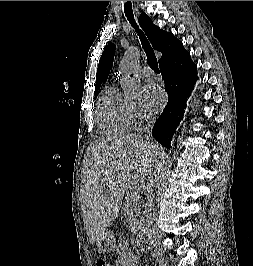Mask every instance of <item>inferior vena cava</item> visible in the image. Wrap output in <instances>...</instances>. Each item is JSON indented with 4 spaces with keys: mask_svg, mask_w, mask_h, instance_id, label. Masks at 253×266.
Instances as JSON below:
<instances>
[{
    "mask_svg": "<svg viewBox=\"0 0 253 266\" xmlns=\"http://www.w3.org/2000/svg\"><path fill=\"white\" fill-rule=\"evenodd\" d=\"M145 122L146 124L140 133L145 140L152 141L151 130L155 122V117L148 115L145 117ZM142 220L144 222L145 231L148 234V239L153 248V256H155L158 261H161L163 258L158 241V231L155 227V213L150 201L148 207H145Z\"/></svg>",
    "mask_w": 253,
    "mask_h": 266,
    "instance_id": "1",
    "label": "inferior vena cava"
}]
</instances>
